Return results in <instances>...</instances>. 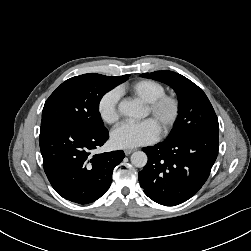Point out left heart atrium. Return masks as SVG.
<instances>
[{
	"label": "left heart atrium",
	"mask_w": 251,
	"mask_h": 251,
	"mask_svg": "<svg viewBox=\"0 0 251 251\" xmlns=\"http://www.w3.org/2000/svg\"><path fill=\"white\" fill-rule=\"evenodd\" d=\"M159 130L152 119L138 123L123 122L111 133V141L117 148H135L156 140Z\"/></svg>",
	"instance_id": "obj_1"
}]
</instances>
